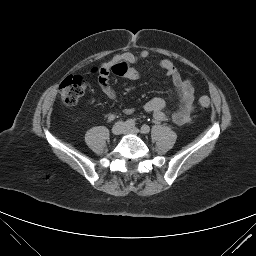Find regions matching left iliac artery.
Returning <instances> with one entry per match:
<instances>
[{
  "mask_svg": "<svg viewBox=\"0 0 256 256\" xmlns=\"http://www.w3.org/2000/svg\"><path fill=\"white\" fill-rule=\"evenodd\" d=\"M149 131H150V127L148 125H146V124L142 125L141 132L143 134H147V133H149Z\"/></svg>",
  "mask_w": 256,
  "mask_h": 256,
  "instance_id": "1",
  "label": "left iliac artery"
}]
</instances>
